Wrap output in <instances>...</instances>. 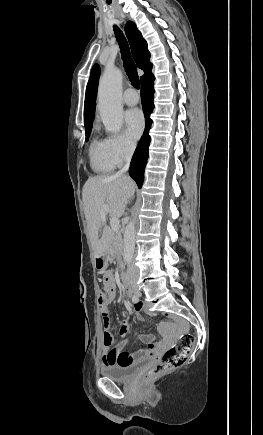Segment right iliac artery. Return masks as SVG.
Instances as JSON below:
<instances>
[{
  "instance_id": "1",
  "label": "right iliac artery",
  "mask_w": 263,
  "mask_h": 435,
  "mask_svg": "<svg viewBox=\"0 0 263 435\" xmlns=\"http://www.w3.org/2000/svg\"><path fill=\"white\" fill-rule=\"evenodd\" d=\"M132 301L133 302H137L138 301V297L136 295H132Z\"/></svg>"
}]
</instances>
